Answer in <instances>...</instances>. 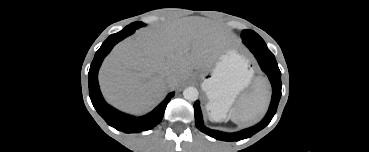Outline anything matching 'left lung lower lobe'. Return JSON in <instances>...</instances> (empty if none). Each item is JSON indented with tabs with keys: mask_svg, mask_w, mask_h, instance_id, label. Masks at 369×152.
Wrapping results in <instances>:
<instances>
[{
	"mask_svg": "<svg viewBox=\"0 0 369 152\" xmlns=\"http://www.w3.org/2000/svg\"><path fill=\"white\" fill-rule=\"evenodd\" d=\"M250 50L255 55L261 69L268 75V78L272 84L273 93H272V99H271L269 110L265 118L257 125L251 128L244 129L240 132H236V133H224V132H220L217 130H211L204 126L203 119H202V113H201L200 106H199V101H196L194 103L196 127L201 132H204L207 135L215 139L224 140V141H239V140L251 137L258 131L266 127L270 123V121L272 120L273 116L276 113L277 106H278V103L281 97L282 83H281V72L278 68L275 57L273 54L262 53L259 50H257L255 47H251Z\"/></svg>",
	"mask_w": 369,
	"mask_h": 152,
	"instance_id": "left-lung-lower-lobe-1",
	"label": "left lung lower lobe"
}]
</instances>
